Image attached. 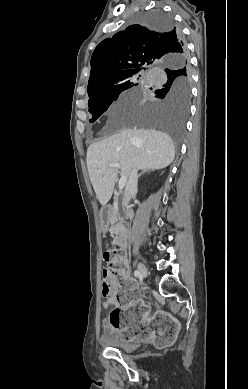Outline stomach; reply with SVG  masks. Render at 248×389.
<instances>
[{
	"label": "stomach",
	"mask_w": 248,
	"mask_h": 389,
	"mask_svg": "<svg viewBox=\"0 0 248 389\" xmlns=\"http://www.w3.org/2000/svg\"><path fill=\"white\" fill-rule=\"evenodd\" d=\"M101 214V225H102V233L106 234L109 231V219L111 218V215L109 214V208L108 207H102L100 209Z\"/></svg>",
	"instance_id": "obj_1"
}]
</instances>
